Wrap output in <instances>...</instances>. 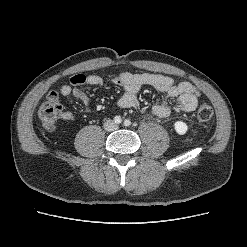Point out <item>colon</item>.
<instances>
[{
  "mask_svg": "<svg viewBox=\"0 0 247 247\" xmlns=\"http://www.w3.org/2000/svg\"><path fill=\"white\" fill-rule=\"evenodd\" d=\"M62 107L57 92H50L45 101L38 110V116L42 124L47 129H53L56 120L60 117ZM213 116V109L210 105L201 104L197 109V118L199 121H209Z\"/></svg>",
  "mask_w": 247,
  "mask_h": 247,
  "instance_id": "1",
  "label": "colon"
}]
</instances>
